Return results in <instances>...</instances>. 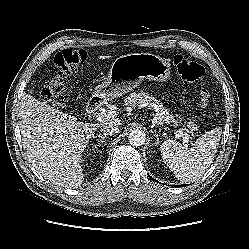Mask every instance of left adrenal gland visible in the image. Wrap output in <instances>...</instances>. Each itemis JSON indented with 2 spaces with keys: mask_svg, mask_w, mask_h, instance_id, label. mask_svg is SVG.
<instances>
[{
  "mask_svg": "<svg viewBox=\"0 0 249 249\" xmlns=\"http://www.w3.org/2000/svg\"><path fill=\"white\" fill-rule=\"evenodd\" d=\"M155 137H156V144L159 145V137H158V134L155 133Z\"/></svg>",
  "mask_w": 249,
  "mask_h": 249,
  "instance_id": "a2214340",
  "label": "left adrenal gland"
}]
</instances>
